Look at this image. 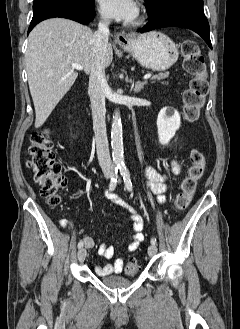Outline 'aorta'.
<instances>
[{
	"label": "aorta",
	"mask_w": 240,
	"mask_h": 329,
	"mask_svg": "<svg viewBox=\"0 0 240 329\" xmlns=\"http://www.w3.org/2000/svg\"><path fill=\"white\" fill-rule=\"evenodd\" d=\"M123 130L120 113L117 110L113 115L112 129H111V146L113 162L117 166L124 164L123 158Z\"/></svg>",
	"instance_id": "762f6f07"
}]
</instances>
